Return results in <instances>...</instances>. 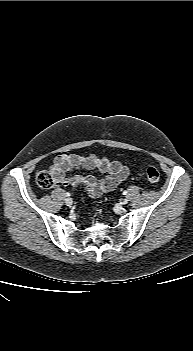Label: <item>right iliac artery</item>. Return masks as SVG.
Segmentation results:
<instances>
[{
	"instance_id": "82829eb1",
	"label": "right iliac artery",
	"mask_w": 193,
	"mask_h": 351,
	"mask_svg": "<svg viewBox=\"0 0 193 351\" xmlns=\"http://www.w3.org/2000/svg\"><path fill=\"white\" fill-rule=\"evenodd\" d=\"M66 196H70V193H66Z\"/></svg>"
}]
</instances>
